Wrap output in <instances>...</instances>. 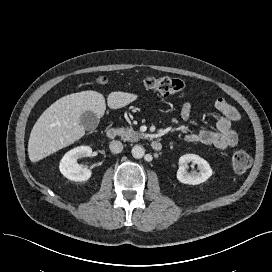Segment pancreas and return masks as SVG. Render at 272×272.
I'll use <instances>...</instances> for the list:
<instances>
[{"label":"pancreas","mask_w":272,"mask_h":272,"mask_svg":"<svg viewBox=\"0 0 272 272\" xmlns=\"http://www.w3.org/2000/svg\"><path fill=\"white\" fill-rule=\"evenodd\" d=\"M118 131L124 141L137 142L141 138V135L132 128H120Z\"/></svg>","instance_id":"pancreas-1"}]
</instances>
